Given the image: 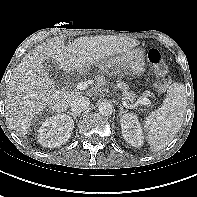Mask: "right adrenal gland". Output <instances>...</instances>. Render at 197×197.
<instances>
[{
  "instance_id": "right-adrenal-gland-1",
  "label": "right adrenal gland",
  "mask_w": 197,
  "mask_h": 197,
  "mask_svg": "<svg viewBox=\"0 0 197 197\" xmlns=\"http://www.w3.org/2000/svg\"><path fill=\"white\" fill-rule=\"evenodd\" d=\"M69 113V112H68ZM69 115L73 116L74 119H76V117H78L79 115L74 114V113H69Z\"/></svg>"
}]
</instances>
